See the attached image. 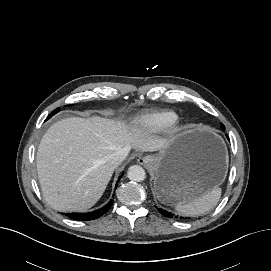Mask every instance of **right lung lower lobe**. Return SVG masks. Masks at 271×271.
<instances>
[{
	"mask_svg": "<svg viewBox=\"0 0 271 271\" xmlns=\"http://www.w3.org/2000/svg\"><path fill=\"white\" fill-rule=\"evenodd\" d=\"M117 184H118V182L116 183V187H117ZM112 203H113V200H110L104 207H102L101 209L92 211V212L67 213L65 215H67L69 218L74 219V220H81V221L93 220V219L99 218L100 216L105 214L107 212V210L112 206Z\"/></svg>",
	"mask_w": 271,
	"mask_h": 271,
	"instance_id": "1",
	"label": "right lung lower lobe"
}]
</instances>
